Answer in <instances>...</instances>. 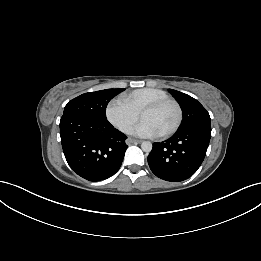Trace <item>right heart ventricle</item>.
Masks as SVG:
<instances>
[{
    "instance_id": "1",
    "label": "right heart ventricle",
    "mask_w": 261,
    "mask_h": 261,
    "mask_svg": "<svg viewBox=\"0 0 261 261\" xmlns=\"http://www.w3.org/2000/svg\"><path fill=\"white\" fill-rule=\"evenodd\" d=\"M123 98L134 110L140 113L146 105L158 100L167 99L169 96L165 91L160 89L142 88L126 94Z\"/></svg>"
}]
</instances>
